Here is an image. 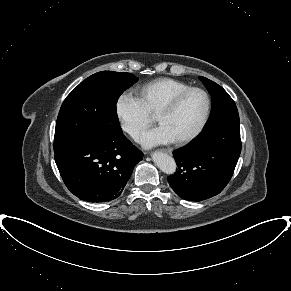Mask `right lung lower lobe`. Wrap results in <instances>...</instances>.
<instances>
[{"label": "right lung lower lobe", "mask_w": 291, "mask_h": 291, "mask_svg": "<svg viewBox=\"0 0 291 291\" xmlns=\"http://www.w3.org/2000/svg\"><path fill=\"white\" fill-rule=\"evenodd\" d=\"M143 158L123 133L80 138L55 152V162L71 193L88 202L116 199Z\"/></svg>", "instance_id": "obj_1"}]
</instances>
